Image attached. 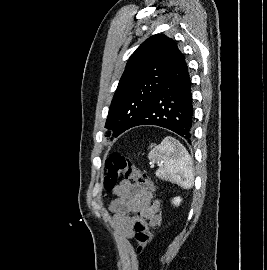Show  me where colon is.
Segmentation results:
<instances>
[{
    "label": "colon",
    "mask_w": 267,
    "mask_h": 270,
    "mask_svg": "<svg viewBox=\"0 0 267 270\" xmlns=\"http://www.w3.org/2000/svg\"><path fill=\"white\" fill-rule=\"evenodd\" d=\"M130 180L132 183L142 186L152 193L157 189L146 174L136 169L132 161L120 153H112L106 160L105 189L110 191L116 187L120 179ZM136 249L142 253L152 241V231L149 224L139 219L135 224Z\"/></svg>",
    "instance_id": "obj_1"
}]
</instances>
